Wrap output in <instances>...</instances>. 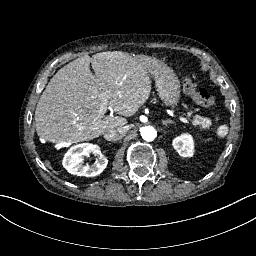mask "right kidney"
<instances>
[{
    "label": "right kidney",
    "mask_w": 256,
    "mask_h": 256,
    "mask_svg": "<svg viewBox=\"0 0 256 256\" xmlns=\"http://www.w3.org/2000/svg\"><path fill=\"white\" fill-rule=\"evenodd\" d=\"M91 153H99L98 146L88 143L74 146L66 153L63 166L73 175L87 177L97 176L106 169L108 160L105 156L100 155L94 165H83V157Z\"/></svg>",
    "instance_id": "obj_1"
}]
</instances>
